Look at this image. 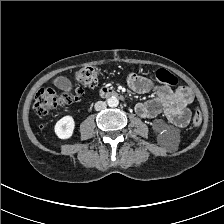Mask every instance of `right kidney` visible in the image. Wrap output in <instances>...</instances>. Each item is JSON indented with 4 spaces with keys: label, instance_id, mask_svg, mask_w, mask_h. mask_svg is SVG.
Masks as SVG:
<instances>
[{
    "label": "right kidney",
    "instance_id": "ca27d5eb",
    "mask_svg": "<svg viewBox=\"0 0 224 224\" xmlns=\"http://www.w3.org/2000/svg\"><path fill=\"white\" fill-rule=\"evenodd\" d=\"M75 121L72 116H64L55 124V133L60 139H69L73 135Z\"/></svg>",
    "mask_w": 224,
    "mask_h": 224
}]
</instances>
